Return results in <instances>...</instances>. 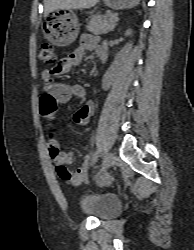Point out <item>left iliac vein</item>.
Masks as SVG:
<instances>
[{
  "instance_id": "4c4485c4",
  "label": "left iliac vein",
  "mask_w": 194,
  "mask_h": 250,
  "mask_svg": "<svg viewBox=\"0 0 194 250\" xmlns=\"http://www.w3.org/2000/svg\"><path fill=\"white\" fill-rule=\"evenodd\" d=\"M114 162V155L111 152H107L102 164V171H107Z\"/></svg>"
}]
</instances>
